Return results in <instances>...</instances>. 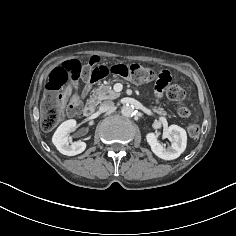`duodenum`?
Masks as SVG:
<instances>
[{"label": "duodenum", "mask_w": 236, "mask_h": 236, "mask_svg": "<svg viewBox=\"0 0 236 236\" xmlns=\"http://www.w3.org/2000/svg\"><path fill=\"white\" fill-rule=\"evenodd\" d=\"M94 113V105L89 103L85 106L84 114L86 117H91Z\"/></svg>", "instance_id": "1"}]
</instances>
